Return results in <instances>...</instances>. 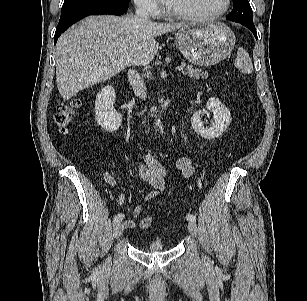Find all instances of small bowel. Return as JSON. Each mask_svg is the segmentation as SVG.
<instances>
[{"mask_svg":"<svg viewBox=\"0 0 307 301\" xmlns=\"http://www.w3.org/2000/svg\"><path fill=\"white\" fill-rule=\"evenodd\" d=\"M175 167L181 172L184 178H188L193 174V166L189 158L186 156H178ZM166 172L162 166L150 155H147L145 162L140 168V177L148 182L151 186V190L144 196V201L148 202L156 198L159 194H162L166 190L165 181ZM103 178L109 185H114L115 181L109 173H104ZM126 196L119 194L116 196V202L119 205L126 204ZM142 205H137L133 209V216L138 217L142 213ZM123 226L125 229H133L136 224L133 219H127L124 221Z\"/></svg>","mask_w":307,"mask_h":301,"instance_id":"obj_1","label":"small bowel"}]
</instances>
